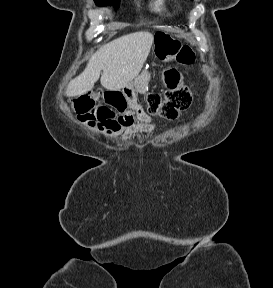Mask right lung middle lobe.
Instances as JSON below:
<instances>
[{"instance_id": "dd1d6c3e", "label": "right lung middle lobe", "mask_w": 273, "mask_h": 288, "mask_svg": "<svg viewBox=\"0 0 273 288\" xmlns=\"http://www.w3.org/2000/svg\"><path fill=\"white\" fill-rule=\"evenodd\" d=\"M96 5L104 6L107 4H114L115 2L118 4L119 0H94Z\"/></svg>"}]
</instances>
